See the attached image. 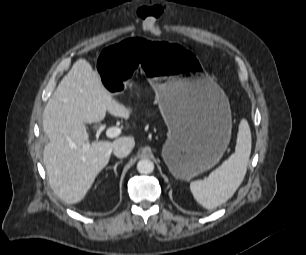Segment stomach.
I'll return each mask as SVG.
<instances>
[{
	"mask_svg": "<svg viewBox=\"0 0 306 255\" xmlns=\"http://www.w3.org/2000/svg\"><path fill=\"white\" fill-rule=\"evenodd\" d=\"M96 65L102 85L112 95L123 93L133 72L148 74L168 127L162 157L176 179L188 181L219 161L231 136L229 102L189 51L130 33L106 47Z\"/></svg>",
	"mask_w": 306,
	"mask_h": 255,
	"instance_id": "stomach-1",
	"label": "stomach"
}]
</instances>
